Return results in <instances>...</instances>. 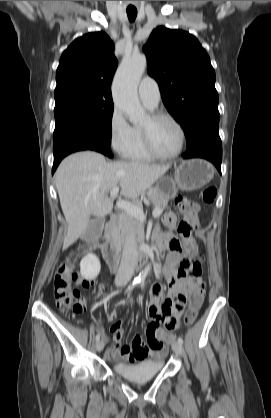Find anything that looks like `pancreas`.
Instances as JSON below:
<instances>
[{"mask_svg": "<svg viewBox=\"0 0 271 418\" xmlns=\"http://www.w3.org/2000/svg\"><path fill=\"white\" fill-rule=\"evenodd\" d=\"M148 199L153 203L155 208H159L161 212L166 208L168 199L158 189H150L148 192ZM141 205L140 202L136 203ZM132 231L138 238L143 240L144 238V225L139 219L131 216L128 213L121 215L118 220V224L113 234L120 240L125 241L128 233Z\"/></svg>", "mask_w": 271, "mask_h": 418, "instance_id": "pancreas-1", "label": "pancreas"}]
</instances>
